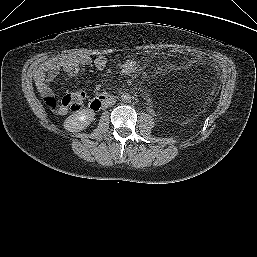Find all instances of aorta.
Returning <instances> with one entry per match:
<instances>
[{
    "label": "aorta",
    "mask_w": 257,
    "mask_h": 257,
    "mask_svg": "<svg viewBox=\"0 0 257 257\" xmlns=\"http://www.w3.org/2000/svg\"><path fill=\"white\" fill-rule=\"evenodd\" d=\"M121 100L125 103H129L131 101V95L129 93H123L121 95Z\"/></svg>",
    "instance_id": "obj_1"
}]
</instances>
